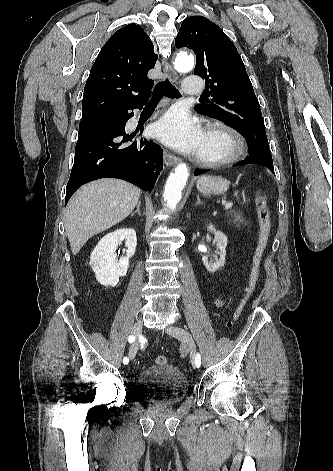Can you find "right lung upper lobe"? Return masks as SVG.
<instances>
[{"instance_id":"obj_1","label":"right lung upper lobe","mask_w":333,"mask_h":471,"mask_svg":"<svg viewBox=\"0 0 333 471\" xmlns=\"http://www.w3.org/2000/svg\"><path fill=\"white\" fill-rule=\"evenodd\" d=\"M157 57L140 26L129 24L115 32L91 68L81 121L146 100L153 85L147 73L154 68Z\"/></svg>"}]
</instances>
